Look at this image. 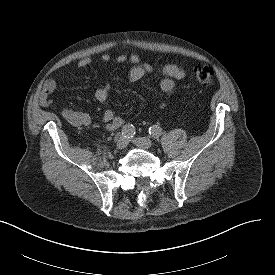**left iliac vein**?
I'll return each mask as SVG.
<instances>
[{"label": "left iliac vein", "instance_id": "left-iliac-vein-1", "mask_svg": "<svg viewBox=\"0 0 275 275\" xmlns=\"http://www.w3.org/2000/svg\"><path fill=\"white\" fill-rule=\"evenodd\" d=\"M133 142L135 145L143 149H150L153 146L152 141L147 137L134 138Z\"/></svg>", "mask_w": 275, "mask_h": 275}]
</instances>
